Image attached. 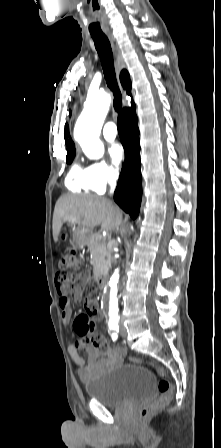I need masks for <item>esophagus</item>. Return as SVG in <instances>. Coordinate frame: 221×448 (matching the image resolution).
Returning <instances> with one entry per match:
<instances>
[{"instance_id": "1", "label": "esophagus", "mask_w": 221, "mask_h": 448, "mask_svg": "<svg viewBox=\"0 0 221 448\" xmlns=\"http://www.w3.org/2000/svg\"><path fill=\"white\" fill-rule=\"evenodd\" d=\"M107 37H108V39L110 41V44H111V47H112V51H113V54H114L116 72H117V75H119L121 69H123L124 66H125L124 59L122 57L121 50H120V48H119V46H118V44H117V42L115 40V37L113 35H107Z\"/></svg>"}]
</instances>
